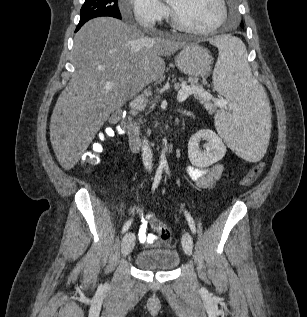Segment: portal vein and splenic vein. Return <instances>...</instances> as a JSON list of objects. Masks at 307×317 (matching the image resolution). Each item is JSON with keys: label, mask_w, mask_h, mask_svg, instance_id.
<instances>
[{"label": "portal vein and splenic vein", "mask_w": 307, "mask_h": 317, "mask_svg": "<svg viewBox=\"0 0 307 317\" xmlns=\"http://www.w3.org/2000/svg\"><path fill=\"white\" fill-rule=\"evenodd\" d=\"M116 85L115 82H111V81H107L103 84V87L106 90H110L112 89L114 86ZM191 94H198L201 98L205 99V100H210L212 99V95L206 91H204L203 89L196 87V86H188L186 84H183L181 86V89L178 91L177 94V100L179 102H183L185 101ZM214 102L219 105L222 106L223 104H225L224 101H220L218 99H214Z\"/></svg>", "instance_id": "18ae733b"}]
</instances>
